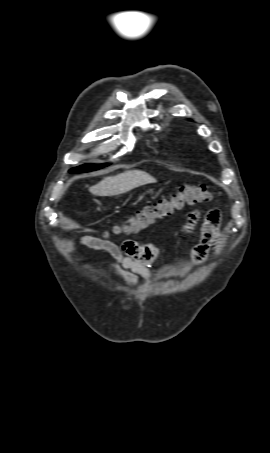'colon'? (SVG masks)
Returning a JSON list of instances; mask_svg holds the SVG:
<instances>
[{
    "label": "colon",
    "mask_w": 270,
    "mask_h": 453,
    "mask_svg": "<svg viewBox=\"0 0 270 453\" xmlns=\"http://www.w3.org/2000/svg\"><path fill=\"white\" fill-rule=\"evenodd\" d=\"M214 199V192L205 185H181L177 192L168 199L158 201L136 212L122 224L112 228V233H136L159 219L172 215L185 205H195Z\"/></svg>",
    "instance_id": "colon-1"
}]
</instances>
